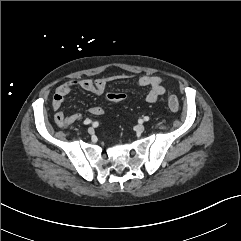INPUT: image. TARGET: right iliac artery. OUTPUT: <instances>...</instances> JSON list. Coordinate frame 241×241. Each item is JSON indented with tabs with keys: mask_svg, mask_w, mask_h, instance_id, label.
I'll list each match as a JSON object with an SVG mask.
<instances>
[{
	"mask_svg": "<svg viewBox=\"0 0 241 241\" xmlns=\"http://www.w3.org/2000/svg\"><path fill=\"white\" fill-rule=\"evenodd\" d=\"M92 121L90 120V119H86L85 121H84V124L85 125H87V124H90ZM96 123V122H95Z\"/></svg>",
	"mask_w": 241,
	"mask_h": 241,
	"instance_id": "obj_1",
	"label": "right iliac artery"
}]
</instances>
